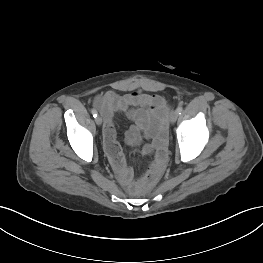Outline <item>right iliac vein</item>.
I'll return each mask as SVG.
<instances>
[{
  "mask_svg": "<svg viewBox=\"0 0 263 263\" xmlns=\"http://www.w3.org/2000/svg\"><path fill=\"white\" fill-rule=\"evenodd\" d=\"M95 122H96L97 125H101L102 124V118L100 116H97L95 118Z\"/></svg>",
  "mask_w": 263,
  "mask_h": 263,
  "instance_id": "obj_1",
  "label": "right iliac vein"
}]
</instances>
